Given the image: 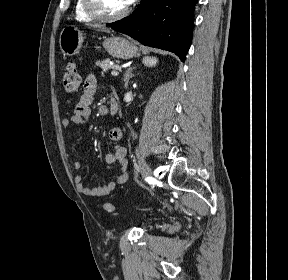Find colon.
Masks as SVG:
<instances>
[{"mask_svg":"<svg viewBox=\"0 0 288 280\" xmlns=\"http://www.w3.org/2000/svg\"><path fill=\"white\" fill-rule=\"evenodd\" d=\"M62 83L67 93H74L75 91H77L80 85V75L74 63H68L65 67L62 77ZM104 210L108 213H112L114 211L113 204L105 203Z\"/></svg>","mask_w":288,"mask_h":280,"instance_id":"obj_1","label":"colon"}]
</instances>
